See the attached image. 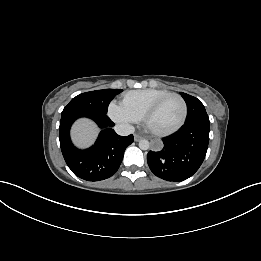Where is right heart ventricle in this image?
<instances>
[{
	"mask_svg": "<svg viewBox=\"0 0 261 261\" xmlns=\"http://www.w3.org/2000/svg\"><path fill=\"white\" fill-rule=\"evenodd\" d=\"M169 93L168 90L156 88L133 90L123 95L121 105L137 120H140L150 105Z\"/></svg>",
	"mask_w": 261,
	"mask_h": 261,
	"instance_id": "obj_1",
	"label": "right heart ventricle"
}]
</instances>
